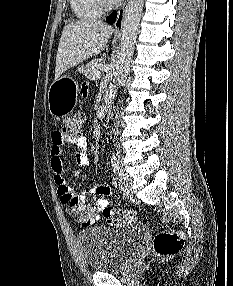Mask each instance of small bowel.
Listing matches in <instances>:
<instances>
[{
    "label": "small bowel",
    "mask_w": 233,
    "mask_h": 286,
    "mask_svg": "<svg viewBox=\"0 0 233 286\" xmlns=\"http://www.w3.org/2000/svg\"><path fill=\"white\" fill-rule=\"evenodd\" d=\"M82 92L86 94V87H83ZM68 145L77 149L74 155V163L77 167V175L80 174L81 170L87 167L89 164L87 155L88 142L85 137H62L58 134L57 131L54 132L52 134L50 163L54 175V180L57 185V193L62 204L64 205L68 206L69 201L75 198L79 200L78 210H84L88 207H91L93 209V214L90 221L91 224L98 219L97 212L108 207V201L106 198L111 194V188L107 184H95L87 190L85 195L79 196L65 178V167L62 156L65 152V147ZM88 196H97L99 198L92 206H89L86 201ZM67 211L69 214L76 215L75 211L69 209V207ZM77 220L79 223H81L82 226L89 225L86 224L81 218L77 217Z\"/></svg>",
    "instance_id": "1"
}]
</instances>
